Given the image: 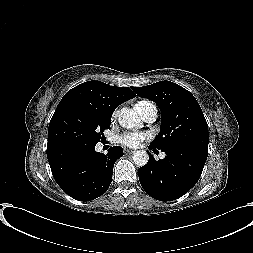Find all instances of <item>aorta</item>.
I'll return each mask as SVG.
<instances>
[{
    "instance_id": "1",
    "label": "aorta",
    "mask_w": 253,
    "mask_h": 253,
    "mask_svg": "<svg viewBox=\"0 0 253 253\" xmlns=\"http://www.w3.org/2000/svg\"><path fill=\"white\" fill-rule=\"evenodd\" d=\"M119 124L124 128H134L139 126L140 119L137 113L130 108H122L118 116ZM149 160L148 153L145 150H138L133 155V162L138 166H144Z\"/></svg>"
}]
</instances>
